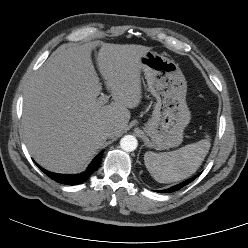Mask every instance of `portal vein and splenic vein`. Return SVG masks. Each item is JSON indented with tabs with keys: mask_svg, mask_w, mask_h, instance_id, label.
Listing matches in <instances>:
<instances>
[{
	"mask_svg": "<svg viewBox=\"0 0 248 248\" xmlns=\"http://www.w3.org/2000/svg\"><path fill=\"white\" fill-rule=\"evenodd\" d=\"M108 99H109V96H107V95H102V96L99 97V101L102 104L107 103L108 102Z\"/></svg>",
	"mask_w": 248,
	"mask_h": 248,
	"instance_id": "1",
	"label": "portal vein and splenic vein"
}]
</instances>
